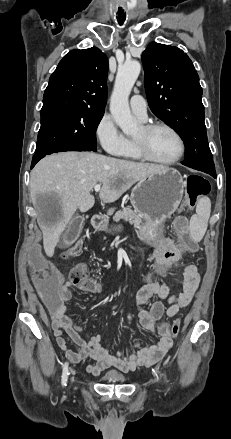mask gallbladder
Instances as JSON below:
<instances>
[{
    "mask_svg": "<svg viewBox=\"0 0 231 439\" xmlns=\"http://www.w3.org/2000/svg\"><path fill=\"white\" fill-rule=\"evenodd\" d=\"M83 222L84 217L80 215L75 216L70 221L62 236V243L64 247L72 245L78 239L82 230Z\"/></svg>",
    "mask_w": 231,
    "mask_h": 439,
    "instance_id": "bac80fb5",
    "label": "gallbladder"
}]
</instances>
